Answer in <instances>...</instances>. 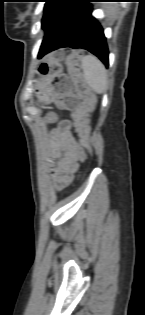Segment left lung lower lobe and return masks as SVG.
<instances>
[{
	"mask_svg": "<svg viewBox=\"0 0 145 315\" xmlns=\"http://www.w3.org/2000/svg\"><path fill=\"white\" fill-rule=\"evenodd\" d=\"M73 0L45 34L39 58L62 47L82 48L96 55L108 67V48L103 29L92 17L89 2Z\"/></svg>",
	"mask_w": 145,
	"mask_h": 315,
	"instance_id": "obj_1",
	"label": "left lung lower lobe"
}]
</instances>
